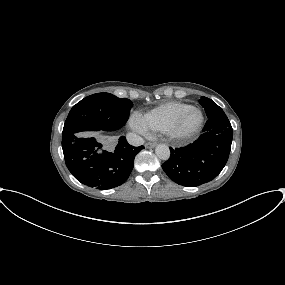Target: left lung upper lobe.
<instances>
[{
    "instance_id": "left-lung-upper-lobe-1",
    "label": "left lung upper lobe",
    "mask_w": 285,
    "mask_h": 285,
    "mask_svg": "<svg viewBox=\"0 0 285 285\" xmlns=\"http://www.w3.org/2000/svg\"><path fill=\"white\" fill-rule=\"evenodd\" d=\"M199 103L205 108V112L208 118L215 115H225L221 107L214 103L211 99L202 96L199 99Z\"/></svg>"
}]
</instances>
